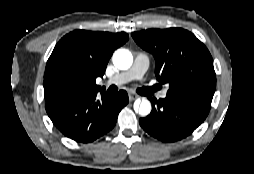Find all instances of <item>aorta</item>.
<instances>
[{"label":"aorta","instance_id":"aorta-1","mask_svg":"<svg viewBox=\"0 0 254 174\" xmlns=\"http://www.w3.org/2000/svg\"><path fill=\"white\" fill-rule=\"evenodd\" d=\"M113 64L120 70H127L133 63V56L127 49H119L115 51L112 57ZM139 114L143 117L151 112V103L147 99H142L139 106L136 107Z\"/></svg>","mask_w":254,"mask_h":174}]
</instances>
